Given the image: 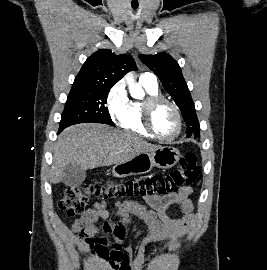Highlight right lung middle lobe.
<instances>
[{"label":"right lung middle lobe","mask_w":267,"mask_h":270,"mask_svg":"<svg viewBox=\"0 0 267 270\" xmlns=\"http://www.w3.org/2000/svg\"><path fill=\"white\" fill-rule=\"evenodd\" d=\"M112 86H72L62 113L59 130L86 122L114 126L105 106Z\"/></svg>","instance_id":"dd1d6c3e"}]
</instances>
